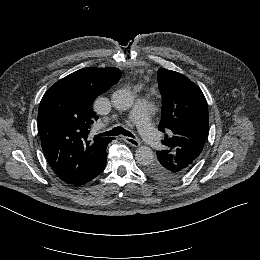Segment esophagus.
<instances>
[{"label": "esophagus", "mask_w": 260, "mask_h": 260, "mask_svg": "<svg viewBox=\"0 0 260 260\" xmlns=\"http://www.w3.org/2000/svg\"><path fill=\"white\" fill-rule=\"evenodd\" d=\"M124 141L134 147H139L140 146V142L138 141L137 138H132V137H124Z\"/></svg>", "instance_id": "34e87169"}]
</instances>
